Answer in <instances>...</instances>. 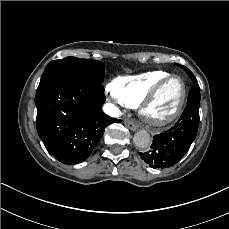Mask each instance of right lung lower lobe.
I'll return each mask as SVG.
<instances>
[{
    "instance_id": "right-lung-lower-lobe-1",
    "label": "right lung lower lobe",
    "mask_w": 229,
    "mask_h": 229,
    "mask_svg": "<svg viewBox=\"0 0 229 229\" xmlns=\"http://www.w3.org/2000/svg\"><path fill=\"white\" fill-rule=\"evenodd\" d=\"M102 86L63 78L41 88L35 97L37 132L47 151L64 164L85 161L105 127L121 120L102 111Z\"/></svg>"
}]
</instances>
